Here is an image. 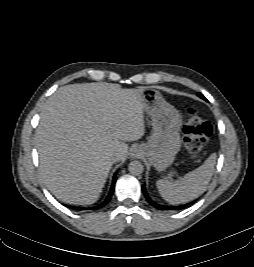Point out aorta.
Listing matches in <instances>:
<instances>
[{
    "label": "aorta",
    "mask_w": 254,
    "mask_h": 267,
    "mask_svg": "<svg viewBox=\"0 0 254 267\" xmlns=\"http://www.w3.org/2000/svg\"><path fill=\"white\" fill-rule=\"evenodd\" d=\"M144 170V166L143 164L138 161V160H134L132 162L129 163L128 166V171L132 174V175H140Z\"/></svg>",
    "instance_id": "762f6f07"
}]
</instances>
